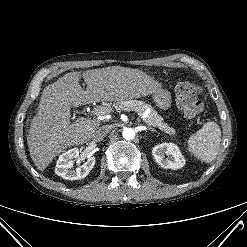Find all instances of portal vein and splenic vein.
Returning <instances> with one entry per match:
<instances>
[{
	"instance_id": "1",
	"label": "portal vein and splenic vein",
	"mask_w": 247,
	"mask_h": 247,
	"mask_svg": "<svg viewBox=\"0 0 247 247\" xmlns=\"http://www.w3.org/2000/svg\"><path fill=\"white\" fill-rule=\"evenodd\" d=\"M111 110L109 109V108H105V107H99V108H97V109H95L93 112V114H95V115H105V114H107V113H109ZM147 114H144V116H146Z\"/></svg>"
}]
</instances>
